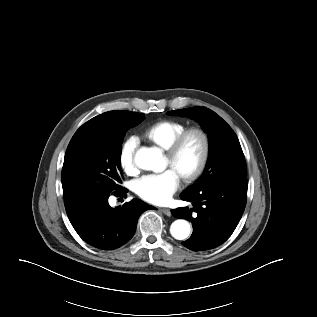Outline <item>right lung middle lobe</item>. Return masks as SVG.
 Segmentation results:
<instances>
[{"mask_svg": "<svg viewBox=\"0 0 317 317\" xmlns=\"http://www.w3.org/2000/svg\"><path fill=\"white\" fill-rule=\"evenodd\" d=\"M144 114L109 111L83 124L72 137L64 158L62 187L65 205L94 202L120 186V157L126 131Z\"/></svg>", "mask_w": 317, "mask_h": 317, "instance_id": "right-lung-middle-lobe-1", "label": "right lung middle lobe"}]
</instances>
